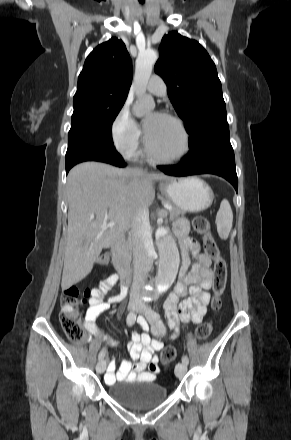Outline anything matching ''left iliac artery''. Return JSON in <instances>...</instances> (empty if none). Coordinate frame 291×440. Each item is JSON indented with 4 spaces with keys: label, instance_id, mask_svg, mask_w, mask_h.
Listing matches in <instances>:
<instances>
[{
    "label": "left iliac artery",
    "instance_id": "left-iliac-artery-1",
    "mask_svg": "<svg viewBox=\"0 0 291 440\" xmlns=\"http://www.w3.org/2000/svg\"><path fill=\"white\" fill-rule=\"evenodd\" d=\"M160 327H161L162 330L165 331V327H164L163 324H161ZM182 363H184V364H186V365L189 363V359H188V357H187L186 355H184V356L182 357Z\"/></svg>",
    "mask_w": 291,
    "mask_h": 440
}]
</instances>
